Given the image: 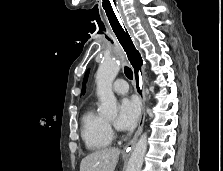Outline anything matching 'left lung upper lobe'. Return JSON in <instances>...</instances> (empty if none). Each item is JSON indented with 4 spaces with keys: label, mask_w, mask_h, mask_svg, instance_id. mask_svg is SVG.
Listing matches in <instances>:
<instances>
[{
    "label": "left lung upper lobe",
    "mask_w": 223,
    "mask_h": 171,
    "mask_svg": "<svg viewBox=\"0 0 223 171\" xmlns=\"http://www.w3.org/2000/svg\"><path fill=\"white\" fill-rule=\"evenodd\" d=\"M88 75H89V69H88V71L86 72L85 77H84L83 88H84V86H85V84H86V82H87Z\"/></svg>",
    "instance_id": "obj_1"
}]
</instances>
